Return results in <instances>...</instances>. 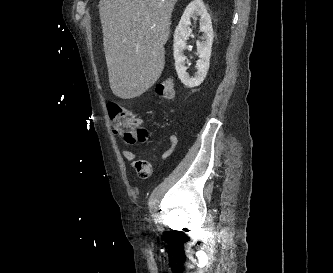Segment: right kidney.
I'll list each match as a JSON object with an SVG mask.
<instances>
[{"label": "right kidney", "mask_w": 333, "mask_h": 273, "mask_svg": "<svg viewBox=\"0 0 333 273\" xmlns=\"http://www.w3.org/2000/svg\"><path fill=\"white\" fill-rule=\"evenodd\" d=\"M200 16V32H203L204 40L197 42V52L200 59L196 63L197 72L194 77H190L187 73L186 56V40L191 35L190 29L191 18ZM213 28L209 14L202 0H194L186 7L178 26L174 32V60L175 69L181 82L188 88L199 86L205 79L211 56V48L213 43Z\"/></svg>", "instance_id": "obj_1"}]
</instances>
